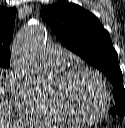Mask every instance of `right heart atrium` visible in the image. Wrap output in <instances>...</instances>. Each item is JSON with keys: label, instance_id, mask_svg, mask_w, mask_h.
I'll use <instances>...</instances> for the list:
<instances>
[{"label": "right heart atrium", "instance_id": "d8ad5b80", "mask_svg": "<svg viewBox=\"0 0 125 128\" xmlns=\"http://www.w3.org/2000/svg\"><path fill=\"white\" fill-rule=\"evenodd\" d=\"M7 82L13 106L23 113H34L43 95L33 83L14 69L8 73Z\"/></svg>", "mask_w": 125, "mask_h": 128}]
</instances>
